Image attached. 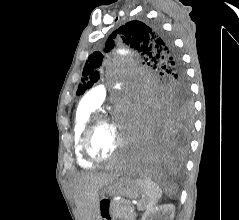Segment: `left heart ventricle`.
<instances>
[{
    "label": "left heart ventricle",
    "instance_id": "left-heart-ventricle-1",
    "mask_svg": "<svg viewBox=\"0 0 239 220\" xmlns=\"http://www.w3.org/2000/svg\"><path fill=\"white\" fill-rule=\"evenodd\" d=\"M121 134L113 122H101L93 131L91 148L95 155H109L117 146Z\"/></svg>",
    "mask_w": 239,
    "mask_h": 220
}]
</instances>
